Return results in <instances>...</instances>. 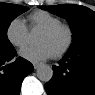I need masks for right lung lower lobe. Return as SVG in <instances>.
Segmentation results:
<instances>
[{"mask_svg":"<svg viewBox=\"0 0 95 95\" xmlns=\"http://www.w3.org/2000/svg\"><path fill=\"white\" fill-rule=\"evenodd\" d=\"M15 55V48L0 52V95H19L23 79L33 71V65L21 57L7 64Z\"/></svg>","mask_w":95,"mask_h":95,"instance_id":"obj_1","label":"right lung lower lobe"}]
</instances>
